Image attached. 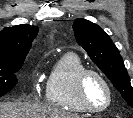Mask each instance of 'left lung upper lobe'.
<instances>
[{"instance_id": "left-lung-upper-lobe-1", "label": "left lung upper lobe", "mask_w": 133, "mask_h": 118, "mask_svg": "<svg viewBox=\"0 0 133 118\" xmlns=\"http://www.w3.org/2000/svg\"><path fill=\"white\" fill-rule=\"evenodd\" d=\"M73 30L78 44L133 107V88L123 59L110 37L97 24L81 18L75 20Z\"/></svg>"}]
</instances>
